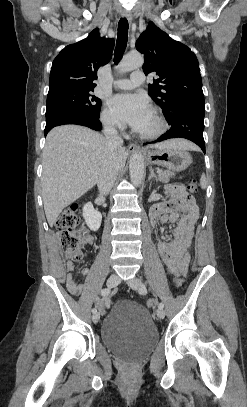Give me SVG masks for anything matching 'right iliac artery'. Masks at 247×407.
Segmentation results:
<instances>
[{
    "label": "right iliac artery",
    "mask_w": 247,
    "mask_h": 407,
    "mask_svg": "<svg viewBox=\"0 0 247 407\" xmlns=\"http://www.w3.org/2000/svg\"><path fill=\"white\" fill-rule=\"evenodd\" d=\"M109 294H111V288H110V287L104 288V289L101 290V295H102V296L106 297V296H108ZM96 312H97V309H96V308H93V309H92V313L95 314Z\"/></svg>",
    "instance_id": "82829eb1"
}]
</instances>
